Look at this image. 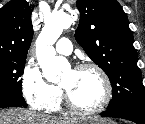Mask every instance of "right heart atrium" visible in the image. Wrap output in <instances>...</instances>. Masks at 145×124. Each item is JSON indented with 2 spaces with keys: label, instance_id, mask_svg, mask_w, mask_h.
<instances>
[{
  "label": "right heart atrium",
  "instance_id": "right-heart-atrium-1",
  "mask_svg": "<svg viewBox=\"0 0 145 124\" xmlns=\"http://www.w3.org/2000/svg\"><path fill=\"white\" fill-rule=\"evenodd\" d=\"M21 85L26 101L33 108L52 111L58 107L61 100L60 89L45 80L36 64L30 62L24 67Z\"/></svg>",
  "mask_w": 145,
  "mask_h": 124
}]
</instances>
